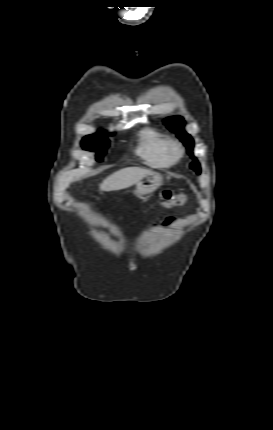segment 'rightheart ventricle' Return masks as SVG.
<instances>
[{"label": "right heart ventricle", "mask_w": 273, "mask_h": 430, "mask_svg": "<svg viewBox=\"0 0 273 430\" xmlns=\"http://www.w3.org/2000/svg\"><path fill=\"white\" fill-rule=\"evenodd\" d=\"M170 141L171 138L161 132L151 128L144 129L139 134L136 153L151 168H169L173 165L168 155Z\"/></svg>", "instance_id": "1"}]
</instances>
